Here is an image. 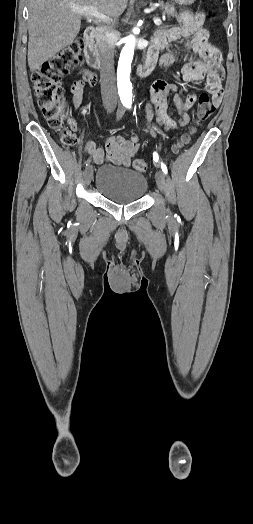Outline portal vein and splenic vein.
I'll use <instances>...</instances> for the list:
<instances>
[{
	"instance_id": "1",
	"label": "portal vein and splenic vein",
	"mask_w": 253,
	"mask_h": 524,
	"mask_svg": "<svg viewBox=\"0 0 253 524\" xmlns=\"http://www.w3.org/2000/svg\"><path fill=\"white\" fill-rule=\"evenodd\" d=\"M71 9L79 14V15H82V16H85L87 18H94V19H97L99 21H105V22H108V21H111L112 22V19L101 13L100 11H98V9H96L95 7L93 6H89V7H81V6H78V5H72L71 6ZM154 23L155 25H161L162 24V21L160 18H154Z\"/></svg>"
}]
</instances>
